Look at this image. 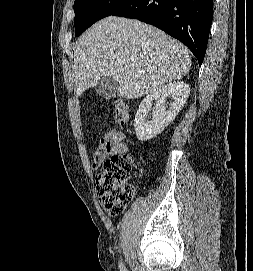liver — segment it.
I'll use <instances>...</instances> for the list:
<instances>
[{"mask_svg":"<svg viewBox=\"0 0 253 271\" xmlns=\"http://www.w3.org/2000/svg\"><path fill=\"white\" fill-rule=\"evenodd\" d=\"M190 67L187 48L163 31L110 16L95 23L75 44V92L81 95L109 77L117 82L119 97L135 99L183 78Z\"/></svg>","mask_w":253,"mask_h":271,"instance_id":"6515ba94","label":"liver"}]
</instances>
